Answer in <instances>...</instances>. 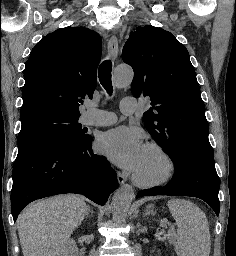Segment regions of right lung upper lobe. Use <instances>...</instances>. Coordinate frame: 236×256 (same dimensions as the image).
Listing matches in <instances>:
<instances>
[{
  "label": "right lung upper lobe",
  "instance_id": "right-lung-upper-lobe-1",
  "mask_svg": "<svg viewBox=\"0 0 236 256\" xmlns=\"http://www.w3.org/2000/svg\"><path fill=\"white\" fill-rule=\"evenodd\" d=\"M101 58V38L85 27H66L42 38L26 62L20 118L55 111L79 118L92 98Z\"/></svg>",
  "mask_w": 236,
  "mask_h": 256
}]
</instances>
